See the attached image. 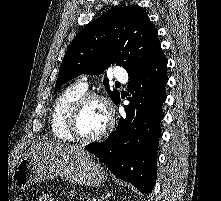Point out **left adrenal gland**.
<instances>
[{"label":"left adrenal gland","instance_id":"obj_1","mask_svg":"<svg viewBox=\"0 0 221 201\" xmlns=\"http://www.w3.org/2000/svg\"><path fill=\"white\" fill-rule=\"evenodd\" d=\"M110 197H111V195L109 193L103 194L99 201H104V200H106L107 198H110Z\"/></svg>","mask_w":221,"mask_h":201}]
</instances>
